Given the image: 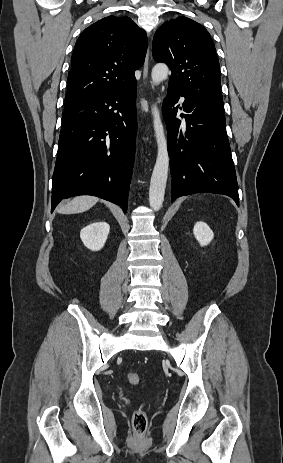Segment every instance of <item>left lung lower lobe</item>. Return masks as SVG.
Instances as JSON below:
<instances>
[{"label":"left lung lower lobe","instance_id":"left-lung-lower-lobe-1","mask_svg":"<svg viewBox=\"0 0 283 463\" xmlns=\"http://www.w3.org/2000/svg\"><path fill=\"white\" fill-rule=\"evenodd\" d=\"M179 96H184L186 131L176 118ZM171 158L172 201L197 192L224 194L239 205L235 168L226 134L225 118L208 113L169 85L163 101ZM182 109V108H180Z\"/></svg>","mask_w":283,"mask_h":463}]
</instances>
